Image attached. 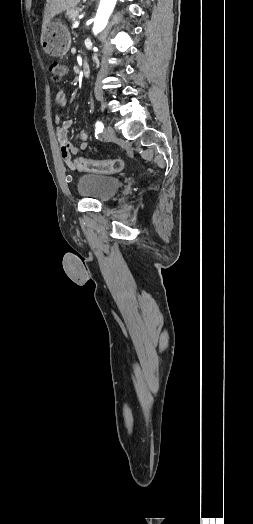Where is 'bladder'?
Here are the masks:
<instances>
[{
	"label": "bladder",
	"instance_id": "1",
	"mask_svg": "<svg viewBox=\"0 0 253 524\" xmlns=\"http://www.w3.org/2000/svg\"><path fill=\"white\" fill-rule=\"evenodd\" d=\"M118 177L102 174H84L78 178L77 191L86 198L106 202L121 188Z\"/></svg>",
	"mask_w": 253,
	"mask_h": 524
}]
</instances>
